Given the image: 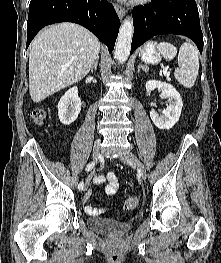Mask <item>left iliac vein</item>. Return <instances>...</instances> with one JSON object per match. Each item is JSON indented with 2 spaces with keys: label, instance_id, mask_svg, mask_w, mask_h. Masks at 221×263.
Here are the masks:
<instances>
[{
  "label": "left iliac vein",
  "instance_id": "left-iliac-vein-1",
  "mask_svg": "<svg viewBox=\"0 0 221 263\" xmlns=\"http://www.w3.org/2000/svg\"><path fill=\"white\" fill-rule=\"evenodd\" d=\"M120 159L124 163H127L133 167H136L139 171L142 181L146 180V170L143 164L139 161V159L133 153H130V152L124 153L120 157Z\"/></svg>",
  "mask_w": 221,
  "mask_h": 263
}]
</instances>
